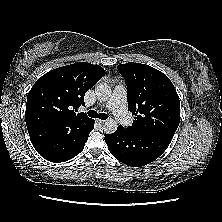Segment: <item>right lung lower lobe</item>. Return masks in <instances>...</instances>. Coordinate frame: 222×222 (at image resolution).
I'll return each mask as SVG.
<instances>
[{
  "label": "right lung lower lobe",
  "instance_id": "98d812e1",
  "mask_svg": "<svg viewBox=\"0 0 222 222\" xmlns=\"http://www.w3.org/2000/svg\"><path fill=\"white\" fill-rule=\"evenodd\" d=\"M94 129V120L87 130L80 135H67L54 141L34 147L45 159L51 162H65L78 155L84 148L90 131Z\"/></svg>",
  "mask_w": 222,
  "mask_h": 222
}]
</instances>
